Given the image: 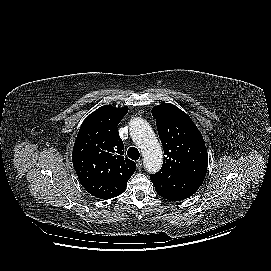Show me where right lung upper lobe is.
Listing matches in <instances>:
<instances>
[{
    "instance_id": "cb5924a9",
    "label": "right lung upper lobe",
    "mask_w": 271,
    "mask_h": 271,
    "mask_svg": "<svg viewBox=\"0 0 271 271\" xmlns=\"http://www.w3.org/2000/svg\"><path fill=\"white\" fill-rule=\"evenodd\" d=\"M128 107L102 106L82 123L74 143L72 161L80 181L114 182L126 186L136 164L124 158L117 126Z\"/></svg>"
}]
</instances>
